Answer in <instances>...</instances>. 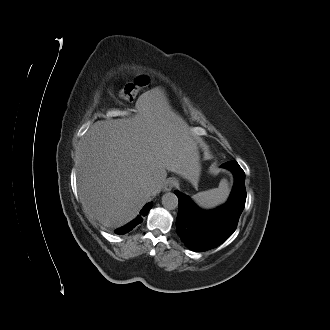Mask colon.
<instances>
[{
	"instance_id": "5ec220e1",
	"label": "colon",
	"mask_w": 330,
	"mask_h": 330,
	"mask_svg": "<svg viewBox=\"0 0 330 330\" xmlns=\"http://www.w3.org/2000/svg\"><path fill=\"white\" fill-rule=\"evenodd\" d=\"M150 83V78L146 75L139 76L135 82L128 87L124 88L120 92V97L124 100L131 101L135 96L138 94V92L143 89L145 86H147Z\"/></svg>"
}]
</instances>
